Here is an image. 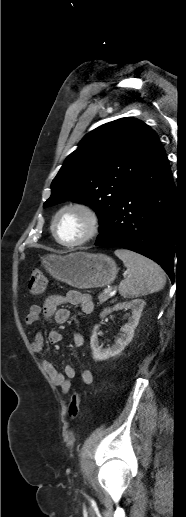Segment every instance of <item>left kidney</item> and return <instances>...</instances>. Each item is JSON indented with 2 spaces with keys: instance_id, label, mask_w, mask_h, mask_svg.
<instances>
[{
  "instance_id": "left-kidney-1",
  "label": "left kidney",
  "mask_w": 186,
  "mask_h": 517,
  "mask_svg": "<svg viewBox=\"0 0 186 517\" xmlns=\"http://www.w3.org/2000/svg\"><path fill=\"white\" fill-rule=\"evenodd\" d=\"M145 305V301L142 299H135L129 302H123L116 304L113 308H106L103 312H101L100 317L104 318L106 315L110 314L112 311L118 310H131V316L128 318V322L121 328L122 333L120 337L116 340L115 344L107 349H103L99 345L97 330L99 329L98 325L94 326L92 336L90 339V346L92 349L93 359L95 361H103L110 357H113L124 350V348L131 342L134 336V330L139 323V319L141 317V313L143 311Z\"/></svg>"
}]
</instances>
